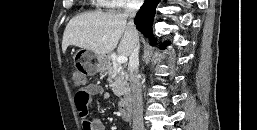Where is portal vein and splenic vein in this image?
Listing matches in <instances>:
<instances>
[{
  "label": "portal vein and splenic vein",
  "instance_id": "18ae733b",
  "mask_svg": "<svg viewBox=\"0 0 257 130\" xmlns=\"http://www.w3.org/2000/svg\"><path fill=\"white\" fill-rule=\"evenodd\" d=\"M116 61H117V63H119V64H123V63L127 62V57L124 56V55H119V56L116 58Z\"/></svg>",
  "mask_w": 257,
  "mask_h": 130
}]
</instances>
